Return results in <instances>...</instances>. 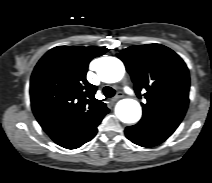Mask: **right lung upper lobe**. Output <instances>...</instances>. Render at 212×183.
<instances>
[{"instance_id": "right-lung-upper-lobe-1", "label": "right lung upper lobe", "mask_w": 212, "mask_h": 183, "mask_svg": "<svg viewBox=\"0 0 212 183\" xmlns=\"http://www.w3.org/2000/svg\"><path fill=\"white\" fill-rule=\"evenodd\" d=\"M105 47L58 46L37 63L30 80L33 113L44 131L61 145L82 138L109 112L86 80L91 59Z\"/></svg>"}]
</instances>
